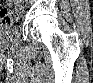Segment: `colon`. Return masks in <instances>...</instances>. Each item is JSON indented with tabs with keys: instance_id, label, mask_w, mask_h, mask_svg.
<instances>
[{
	"instance_id": "colon-1",
	"label": "colon",
	"mask_w": 93,
	"mask_h": 83,
	"mask_svg": "<svg viewBox=\"0 0 93 83\" xmlns=\"http://www.w3.org/2000/svg\"><path fill=\"white\" fill-rule=\"evenodd\" d=\"M15 9L12 7H3L0 11V21L3 25L10 24L14 15Z\"/></svg>"
}]
</instances>
